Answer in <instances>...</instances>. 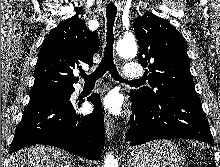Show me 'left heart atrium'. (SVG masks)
Segmentation results:
<instances>
[{"mask_svg": "<svg viewBox=\"0 0 220 167\" xmlns=\"http://www.w3.org/2000/svg\"><path fill=\"white\" fill-rule=\"evenodd\" d=\"M104 108L112 114H119L121 111V101L117 95L110 94L103 100Z\"/></svg>", "mask_w": 220, "mask_h": 167, "instance_id": "1", "label": "left heart atrium"}]
</instances>
